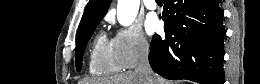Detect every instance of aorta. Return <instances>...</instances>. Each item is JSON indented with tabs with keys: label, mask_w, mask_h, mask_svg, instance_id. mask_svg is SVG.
Listing matches in <instances>:
<instances>
[{
	"label": "aorta",
	"mask_w": 260,
	"mask_h": 84,
	"mask_svg": "<svg viewBox=\"0 0 260 84\" xmlns=\"http://www.w3.org/2000/svg\"><path fill=\"white\" fill-rule=\"evenodd\" d=\"M140 0H118L117 20L123 26L131 25L139 10Z\"/></svg>",
	"instance_id": "obj_1"
}]
</instances>
